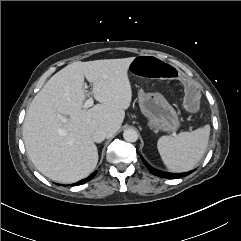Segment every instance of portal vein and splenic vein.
Masks as SVG:
<instances>
[{"mask_svg":"<svg viewBox=\"0 0 241 241\" xmlns=\"http://www.w3.org/2000/svg\"><path fill=\"white\" fill-rule=\"evenodd\" d=\"M93 104H94L93 98H89V99H87V100L85 101V103H84V108L87 109V108L93 106ZM61 120L65 122V121H66V118L61 117Z\"/></svg>","mask_w":241,"mask_h":241,"instance_id":"1","label":"portal vein and splenic vein"}]
</instances>
